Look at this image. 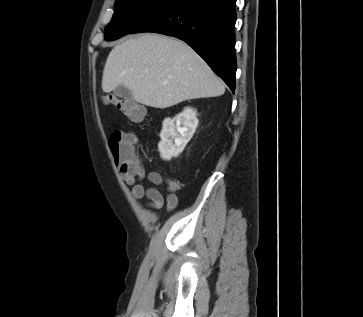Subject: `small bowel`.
<instances>
[{
  "instance_id": "small-bowel-1",
  "label": "small bowel",
  "mask_w": 363,
  "mask_h": 317,
  "mask_svg": "<svg viewBox=\"0 0 363 317\" xmlns=\"http://www.w3.org/2000/svg\"><path fill=\"white\" fill-rule=\"evenodd\" d=\"M120 177L124 182L131 186V195L135 199H148L146 205L152 209H160L164 204V197L155 187H145L139 181L146 176L145 168L140 164L136 168H120ZM148 180L154 185H161L166 182L167 196L166 206L168 210H173L178 204L177 191L180 189V183L176 180L166 178L160 171H153L147 175Z\"/></svg>"
}]
</instances>
